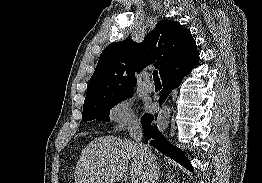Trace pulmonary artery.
Wrapping results in <instances>:
<instances>
[{"mask_svg":"<svg viewBox=\"0 0 262 183\" xmlns=\"http://www.w3.org/2000/svg\"><path fill=\"white\" fill-rule=\"evenodd\" d=\"M150 75L146 74L144 76V81L142 83L143 88L147 91V92H152L154 90V84L150 81Z\"/></svg>","mask_w":262,"mask_h":183,"instance_id":"e3ab8cb5","label":"pulmonary artery"}]
</instances>
